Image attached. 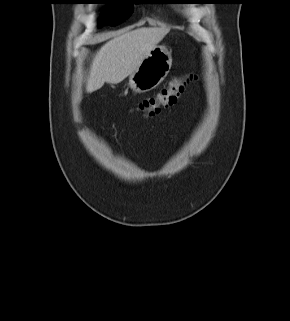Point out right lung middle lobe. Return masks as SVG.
I'll list each match as a JSON object with an SVG mask.
<instances>
[{
	"instance_id": "obj_1",
	"label": "right lung middle lobe",
	"mask_w": 290,
	"mask_h": 321,
	"mask_svg": "<svg viewBox=\"0 0 290 321\" xmlns=\"http://www.w3.org/2000/svg\"><path fill=\"white\" fill-rule=\"evenodd\" d=\"M132 0H94L97 4H110L105 15L100 19L101 24L118 25L133 12Z\"/></svg>"
}]
</instances>
